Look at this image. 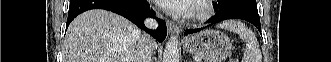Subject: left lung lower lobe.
Wrapping results in <instances>:
<instances>
[{
  "instance_id": "left-lung-lower-lobe-1",
  "label": "left lung lower lobe",
  "mask_w": 331,
  "mask_h": 62,
  "mask_svg": "<svg viewBox=\"0 0 331 62\" xmlns=\"http://www.w3.org/2000/svg\"><path fill=\"white\" fill-rule=\"evenodd\" d=\"M228 19H242L248 21L254 26H256L259 31H261L260 18L257 7H253L244 3H234L227 6L226 8L220 9L219 14L211 17L207 22L210 23L208 25L210 26ZM203 28L188 29L185 31V35L196 33Z\"/></svg>"
}]
</instances>
